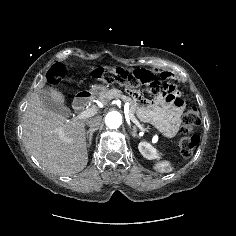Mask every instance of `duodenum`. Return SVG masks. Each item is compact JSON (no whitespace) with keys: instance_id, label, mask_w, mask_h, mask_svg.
I'll return each mask as SVG.
<instances>
[{"instance_id":"duodenum-1","label":"duodenum","mask_w":236,"mask_h":236,"mask_svg":"<svg viewBox=\"0 0 236 236\" xmlns=\"http://www.w3.org/2000/svg\"><path fill=\"white\" fill-rule=\"evenodd\" d=\"M91 95L89 93L80 94L73 102V108L76 111H82L90 102Z\"/></svg>"}]
</instances>
